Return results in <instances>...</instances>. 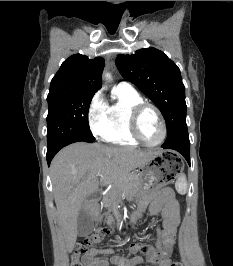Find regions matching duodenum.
I'll list each match as a JSON object with an SVG mask.
<instances>
[{
	"mask_svg": "<svg viewBox=\"0 0 233 266\" xmlns=\"http://www.w3.org/2000/svg\"><path fill=\"white\" fill-rule=\"evenodd\" d=\"M101 197L100 191L96 190L90 195V200L93 203H97Z\"/></svg>",
	"mask_w": 233,
	"mask_h": 266,
	"instance_id": "obj_1",
	"label": "duodenum"
}]
</instances>
